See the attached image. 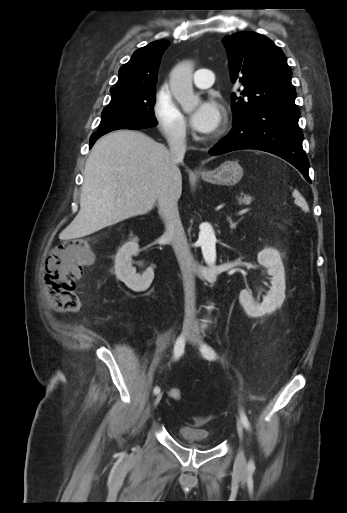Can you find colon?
I'll use <instances>...</instances> for the list:
<instances>
[{
  "label": "colon",
  "instance_id": "obj_1",
  "mask_svg": "<svg viewBox=\"0 0 347 513\" xmlns=\"http://www.w3.org/2000/svg\"><path fill=\"white\" fill-rule=\"evenodd\" d=\"M94 254L89 243L83 238H75L59 245L48 260L46 283L54 305L62 311H75L80 307L76 293V281L83 268L92 264ZM169 396L175 401L182 399L178 388H171Z\"/></svg>",
  "mask_w": 347,
  "mask_h": 513
}]
</instances>
